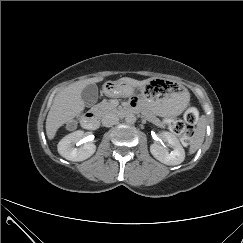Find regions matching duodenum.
Wrapping results in <instances>:
<instances>
[{
    "label": "duodenum",
    "instance_id": "obj_1",
    "mask_svg": "<svg viewBox=\"0 0 243 243\" xmlns=\"http://www.w3.org/2000/svg\"><path fill=\"white\" fill-rule=\"evenodd\" d=\"M131 111L130 108H122L120 110H118V115L119 116H125L126 114H128L129 112ZM82 126L86 129H90V130H93V129H96L99 125V121H98V118L96 116V114L92 111H88L82 118Z\"/></svg>",
    "mask_w": 243,
    "mask_h": 243
}]
</instances>
